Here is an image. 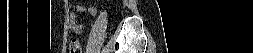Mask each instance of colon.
I'll use <instances>...</instances> for the list:
<instances>
[{
	"instance_id": "colon-1",
	"label": "colon",
	"mask_w": 253,
	"mask_h": 53,
	"mask_svg": "<svg viewBox=\"0 0 253 53\" xmlns=\"http://www.w3.org/2000/svg\"><path fill=\"white\" fill-rule=\"evenodd\" d=\"M70 53H81V45L77 39H72L69 45Z\"/></svg>"
}]
</instances>
